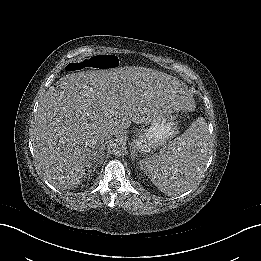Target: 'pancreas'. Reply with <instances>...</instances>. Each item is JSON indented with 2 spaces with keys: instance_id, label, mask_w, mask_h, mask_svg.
<instances>
[{
  "instance_id": "obj_1",
  "label": "pancreas",
  "mask_w": 261,
  "mask_h": 261,
  "mask_svg": "<svg viewBox=\"0 0 261 261\" xmlns=\"http://www.w3.org/2000/svg\"><path fill=\"white\" fill-rule=\"evenodd\" d=\"M171 132L174 133V128L173 126H170Z\"/></svg>"
}]
</instances>
